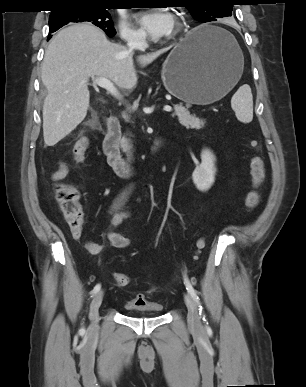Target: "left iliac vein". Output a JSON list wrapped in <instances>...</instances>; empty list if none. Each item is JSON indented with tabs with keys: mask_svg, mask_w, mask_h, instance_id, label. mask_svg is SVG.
I'll list each match as a JSON object with an SVG mask.
<instances>
[{
	"mask_svg": "<svg viewBox=\"0 0 306 387\" xmlns=\"http://www.w3.org/2000/svg\"><path fill=\"white\" fill-rule=\"evenodd\" d=\"M184 299L188 310L187 321L189 326L195 330L201 331L202 324L194 299L189 294H185Z\"/></svg>",
	"mask_w": 306,
	"mask_h": 387,
	"instance_id": "obj_1",
	"label": "left iliac vein"
}]
</instances>
